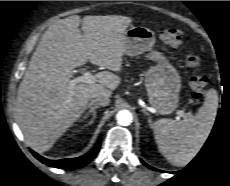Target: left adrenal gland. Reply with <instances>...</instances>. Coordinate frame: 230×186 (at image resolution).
I'll list each match as a JSON object with an SVG mask.
<instances>
[{
	"label": "left adrenal gland",
	"mask_w": 230,
	"mask_h": 186,
	"mask_svg": "<svg viewBox=\"0 0 230 186\" xmlns=\"http://www.w3.org/2000/svg\"><path fill=\"white\" fill-rule=\"evenodd\" d=\"M142 111L148 117V122H149L150 126H152V120H151L150 114L145 109H142Z\"/></svg>",
	"instance_id": "a2214340"
}]
</instances>
